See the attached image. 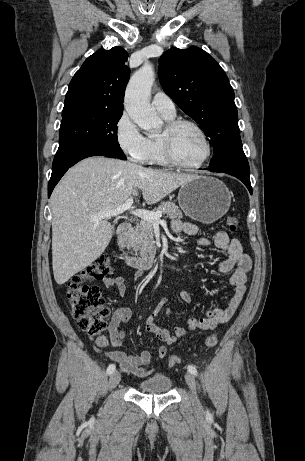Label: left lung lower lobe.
Listing matches in <instances>:
<instances>
[{
    "mask_svg": "<svg viewBox=\"0 0 305 461\" xmlns=\"http://www.w3.org/2000/svg\"><path fill=\"white\" fill-rule=\"evenodd\" d=\"M208 170H210L212 172H223V173H227V174H230L232 176H235L236 178L241 180L246 185L249 192L252 194V187H251V183H250V173L249 172L243 171V170H241L239 168H236V167L217 170V171H213L211 169H208Z\"/></svg>",
    "mask_w": 305,
    "mask_h": 461,
    "instance_id": "1",
    "label": "left lung lower lobe"
}]
</instances>
